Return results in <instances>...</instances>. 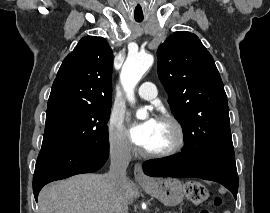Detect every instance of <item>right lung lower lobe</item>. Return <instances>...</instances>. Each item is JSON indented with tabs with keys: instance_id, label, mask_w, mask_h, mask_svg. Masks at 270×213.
Segmentation results:
<instances>
[{
	"instance_id": "right-lung-lower-lobe-1",
	"label": "right lung lower lobe",
	"mask_w": 270,
	"mask_h": 213,
	"mask_svg": "<svg viewBox=\"0 0 270 213\" xmlns=\"http://www.w3.org/2000/svg\"><path fill=\"white\" fill-rule=\"evenodd\" d=\"M109 156V142L80 148L41 149L33 176L35 200L41 188L49 182L61 180L76 174L99 170Z\"/></svg>"
}]
</instances>
